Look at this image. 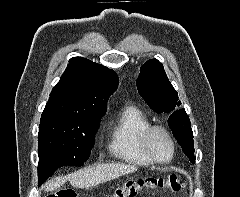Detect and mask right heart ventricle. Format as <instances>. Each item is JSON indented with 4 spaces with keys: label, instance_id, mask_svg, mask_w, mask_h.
<instances>
[{
    "label": "right heart ventricle",
    "instance_id": "e07e8e85",
    "mask_svg": "<svg viewBox=\"0 0 240 197\" xmlns=\"http://www.w3.org/2000/svg\"><path fill=\"white\" fill-rule=\"evenodd\" d=\"M151 125L148 116L138 107L123 108L111 124L108 132V150L112 156L136 166L154 163L145 154L142 135Z\"/></svg>",
    "mask_w": 240,
    "mask_h": 197
}]
</instances>
